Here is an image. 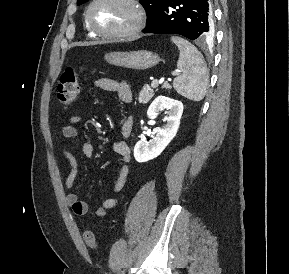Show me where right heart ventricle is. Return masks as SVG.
Returning <instances> with one entry per match:
<instances>
[{"instance_id": "e07e8e85", "label": "right heart ventricle", "mask_w": 289, "mask_h": 274, "mask_svg": "<svg viewBox=\"0 0 289 274\" xmlns=\"http://www.w3.org/2000/svg\"><path fill=\"white\" fill-rule=\"evenodd\" d=\"M86 28L88 29L87 25H86ZM88 31H89L90 34H92V32L89 29H88Z\"/></svg>"}]
</instances>
